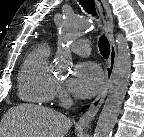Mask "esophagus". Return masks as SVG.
<instances>
[{"mask_svg": "<svg viewBox=\"0 0 144 137\" xmlns=\"http://www.w3.org/2000/svg\"><path fill=\"white\" fill-rule=\"evenodd\" d=\"M96 4L104 22L105 31L110 43V53L107 66L105 68V82L101 88V91L92 101L89 109L80 117L78 122V125L85 129L90 127L92 120L97 115L106 98L112 78L114 76L117 61V52L114 41V22L110 7L106 0H96Z\"/></svg>", "mask_w": 144, "mask_h": 137, "instance_id": "obj_1", "label": "esophagus"}]
</instances>
